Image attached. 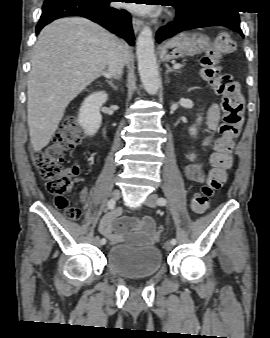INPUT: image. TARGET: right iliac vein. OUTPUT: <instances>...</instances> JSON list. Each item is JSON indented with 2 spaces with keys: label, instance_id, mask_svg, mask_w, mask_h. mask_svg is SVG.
Masks as SVG:
<instances>
[{
  "label": "right iliac vein",
  "instance_id": "1",
  "mask_svg": "<svg viewBox=\"0 0 270 338\" xmlns=\"http://www.w3.org/2000/svg\"><path fill=\"white\" fill-rule=\"evenodd\" d=\"M120 196H121V192H120L119 190H114V191L111 193V198L114 199V200L119 199ZM93 242H94V244L97 245V246H100V245H101L98 236L94 237Z\"/></svg>",
  "mask_w": 270,
  "mask_h": 338
}]
</instances>
